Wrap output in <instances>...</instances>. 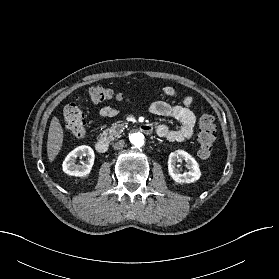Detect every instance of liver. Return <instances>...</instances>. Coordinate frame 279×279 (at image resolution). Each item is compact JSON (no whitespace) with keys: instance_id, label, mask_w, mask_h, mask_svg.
Returning a JSON list of instances; mask_svg holds the SVG:
<instances>
[{"instance_id":"1","label":"liver","mask_w":279,"mask_h":279,"mask_svg":"<svg viewBox=\"0 0 279 279\" xmlns=\"http://www.w3.org/2000/svg\"><path fill=\"white\" fill-rule=\"evenodd\" d=\"M63 129L57 117H53L50 123L48 140H47V154L49 162H52L61 150L63 144Z\"/></svg>"}]
</instances>
